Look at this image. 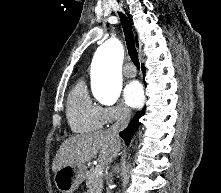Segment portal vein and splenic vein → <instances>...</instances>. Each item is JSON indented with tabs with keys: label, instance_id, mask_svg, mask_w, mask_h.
<instances>
[{
	"label": "portal vein and splenic vein",
	"instance_id": "18ae733b",
	"mask_svg": "<svg viewBox=\"0 0 221 193\" xmlns=\"http://www.w3.org/2000/svg\"><path fill=\"white\" fill-rule=\"evenodd\" d=\"M103 168H104L103 165L96 166L95 173L101 175L103 173Z\"/></svg>",
	"mask_w": 221,
	"mask_h": 193
}]
</instances>
